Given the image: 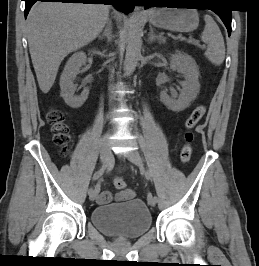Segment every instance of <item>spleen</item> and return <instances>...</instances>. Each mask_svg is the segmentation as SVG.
I'll return each mask as SVG.
<instances>
[{
    "instance_id": "3e777b00",
    "label": "spleen",
    "mask_w": 259,
    "mask_h": 266,
    "mask_svg": "<svg viewBox=\"0 0 259 266\" xmlns=\"http://www.w3.org/2000/svg\"><path fill=\"white\" fill-rule=\"evenodd\" d=\"M205 27L201 40L207 44L205 57L214 65L220 66L225 59V44L221 31L210 15L204 16Z\"/></svg>"
}]
</instances>
